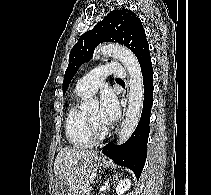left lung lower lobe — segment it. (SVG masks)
Listing matches in <instances>:
<instances>
[{
	"label": "left lung lower lobe",
	"mask_w": 211,
	"mask_h": 195,
	"mask_svg": "<svg viewBox=\"0 0 211 195\" xmlns=\"http://www.w3.org/2000/svg\"><path fill=\"white\" fill-rule=\"evenodd\" d=\"M144 84V101L140 121L131 137L122 145L109 143L102 153L116 164L131 169L139 179L147 156L150 111L153 104V68L151 57L141 65Z\"/></svg>",
	"instance_id": "0a47b994"
}]
</instances>
